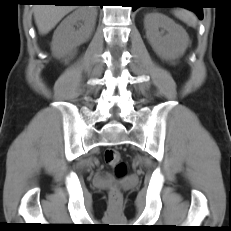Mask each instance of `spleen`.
<instances>
[{
	"mask_svg": "<svg viewBox=\"0 0 231 231\" xmlns=\"http://www.w3.org/2000/svg\"><path fill=\"white\" fill-rule=\"evenodd\" d=\"M175 15L180 20H182L183 22L187 23L190 26L195 27L197 24V20L194 17V15L191 14L190 12L186 11V10H176Z\"/></svg>",
	"mask_w": 231,
	"mask_h": 231,
	"instance_id": "3e777b00",
	"label": "spleen"
}]
</instances>
